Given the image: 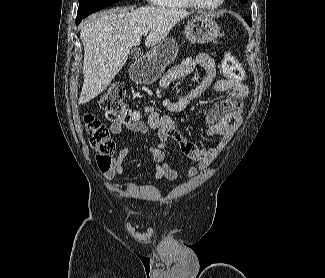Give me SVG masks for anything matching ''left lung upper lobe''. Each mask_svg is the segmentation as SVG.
Instances as JSON below:
<instances>
[{"instance_id":"1","label":"left lung upper lobe","mask_w":325,"mask_h":278,"mask_svg":"<svg viewBox=\"0 0 325 278\" xmlns=\"http://www.w3.org/2000/svg\"><path fill=\"white\" fill-rule=\"evenodd\" d=\"M242 3H246L247 2V0H240Z\"/></svg>"}]
</instances>
